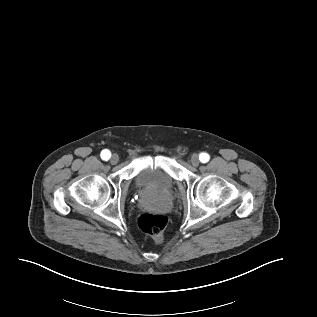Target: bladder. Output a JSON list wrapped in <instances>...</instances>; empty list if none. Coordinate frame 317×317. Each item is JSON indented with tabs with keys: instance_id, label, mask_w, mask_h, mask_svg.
I'll return each mask as SVG.
<instances>
[{
	"instance_id": "bladder-1",
	"label": "bladder",
	"mask_w": 317,
	"mask_h": 317,
	"mask_svg": "<svg viewBox=\"0 0 317 317\" xmlns=\"http://www.w3.org/2000/svg\"><path fill=\"white\" fill-rule=\"evenodd\" d=\"M135 184L140 190L159 195L170 192L175 185L169 174L160 169L149 167L137 173Z\"/></svg>"
}]
</instances>
